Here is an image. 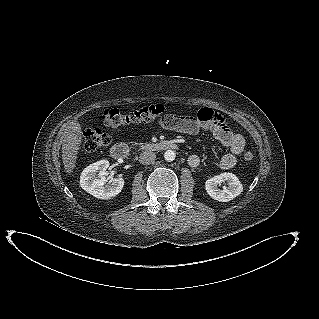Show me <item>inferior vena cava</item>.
I'll return each instance as SVG.
<instances>
[{
    "instance_id": "inferior-vena-cava-1",
    "label": "inferior vena cava",
    "mask_w": 319,
    "mask_h": 319,
    "mask_svg": "<svg viewBox=\"0 0 319 319\" xmlns=\"http://www.w3.org/2000/svg\"><path fill=\"white\" fill-rule=\"evenodd\" d=\"M156 159V155L154 152L152 151H144L140 154V157H139V161L141 164H144V165H149L151 163H153Z\"/></svg>"
}]
</instances>
